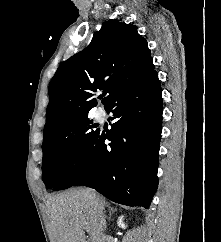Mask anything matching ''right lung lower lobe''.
<instances>
[{"label": "right lung lower lobe", "instance_id": "98d812e1", "mask_svg": "<svg viewBox=\"0 0 221 242\" xmlns=\"http://www.w3.org/2000/svg\"><path fill=\"white\" fill-rule=\"evenodd\" d=\"M161 95L155 70L121 92L105 109L113 113L111 130L98 132L54 190L84 185L116 203L148 209L158 186Z\"/></svg>", "mask_w": 221, "mask_h": 242}]
</instances>
